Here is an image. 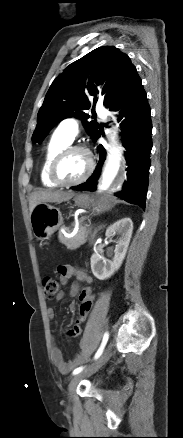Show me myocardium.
<instances>
[{
  "label": "myocardium",
  "mask_w": 183,
  "mask_h": 438,
  "mask_svg": "<svg viewBox=\"0 0 183 438\" xmlns=\"http://www.w3.org/2000/svg\"><path fill=\"white\" fill-rule=\"evenodd\" d=\"M73 152H82L87 159V168L85 173L77 180L72 181V182H65L62 181L61 179H59L58 177V168L59 165L61 163V161L69 154L73 153ZM95 169V162L93 159V156L90 152V150L82 145H69L65 148H63L62 150H60L55 157L53 158L50 167H49V178L50 180L59 187H73V186H77L80 185L84 182H86L90 176L92 175L93 171Z\"/></svg>",
  "instance_id": "1"
}]
</instances>
